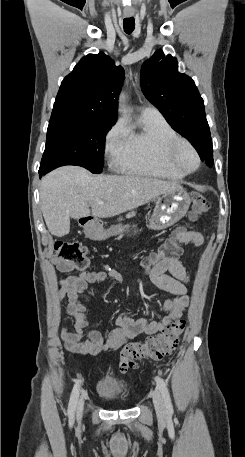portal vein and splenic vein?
<instances>
[{"mask_svg":"<svg viewBox=\"0 0 245 457\" xmlns=\"http://www.w3.org/2000/svg\"><path fill=\"white\" fill-rule=\"evenodd\" d=\"M96 202H101V204H103L101 198H96Z\"/></svg>","mask_w":245,"mask_h":457,"instance_id":"1","label":"portal vein and splenic vein"}]
</instances>
